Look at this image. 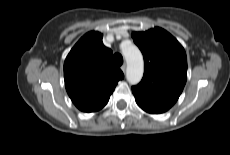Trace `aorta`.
<instances>
[{
    "label": "aorta",
    "mask_w": 230,
    "mask_h": 155,
    "mask_svg": "<svg viewBox=\"0 0 230 155\" xmlns=\"http://www.w3.org/2000/svg\"><path fill=\"white\" fill-rule=\"evenodd\" d=\"M121 48L127 63V81L130 84L135 85L139 83L143 77L144 63L142 54L140 50L132 44H122Z\"/></svg>",
    "instance_id": "762f6f07"
}]
</instances>
